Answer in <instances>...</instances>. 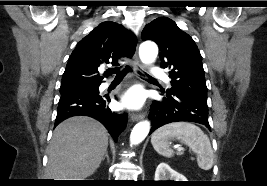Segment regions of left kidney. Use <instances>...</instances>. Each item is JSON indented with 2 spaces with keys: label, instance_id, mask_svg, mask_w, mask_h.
<instances>
[{
  "label": "left kidney",
  "instance_id": "obj_1",
  "mask_svg": "<svg viewBox=\"0 0 267 186\" xmlns=\"http://www.w3.org/2000/svg\"><path fill=\"white\" fill-rule=\"evenodd\" d=\"M154 181H187L180 173L174 171L167 163H160L155 171Z\"/></svg>",
  "mask_w": 267,
  "mask_h": 186
}]
</instances>
